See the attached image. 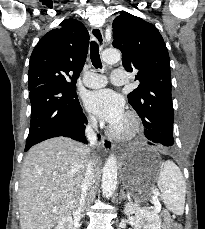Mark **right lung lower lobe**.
I'll list each match as a JSON object with an SVG mask.
<instances>
[{"instance_id": "obj_1", "label": "right lung lower lobe", "mask_w": 205, "mask_h": 229, "mask_svg": "<svg viewBox=\"0 0 205 229\" xmlns=\"http://www.w3.org/2000/svg\"><path fill=\"white\" fill-rule=\"evenodd\" d=\"M31 125L25 151L43 140L64 136L86 143L87 119L76 89L47 83L30 90ZM100 138V136L98 135Z\"/></svg>"}]
</instances>
